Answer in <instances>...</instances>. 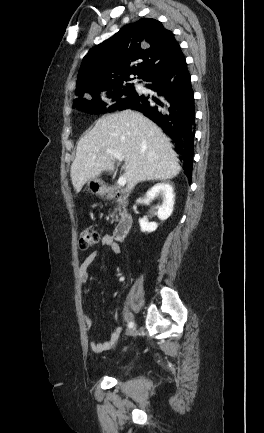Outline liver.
Masks as SVG:
<instances>
[{"instance_id":"6515ba94","label":"liver","mask_w":264,"mask_h":433,"mask_svg":"<svg viewBox=\"0 0 264 433\" xmlns=\"http://www.w3.org/2000/svg\"><path fill=\"white\" fill-rule=\"evenodd\" d=\"M105 149L124 155L129 190L140 182L172 179L181 171L177 154L162 130L141 113L124 110L101 117L79 140L70 172L77 193L102 172L114 171L115 160Z\"/></svg>"}]
</instances>
